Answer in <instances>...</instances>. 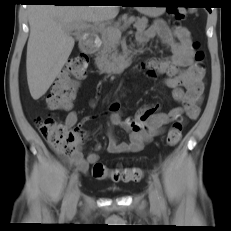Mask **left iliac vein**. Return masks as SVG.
Here are the masks:
<instances>
[{
	"label": "left iliac vein",
	"instance_id": "1",
	"mask_svg": "<svg viewBox=\"0 0 231 231\" xmlns=\"http://www.w3.org/2000/svg\"><path fill=\"white\" fill-rule=\"evenodd\" d=\"M149 200H150V204L153 208L159 207L160 201L158 198V193L155 189L154 184L151 181L149 182Z\"/></svg>",
	"mask_w": 231,
	"mask_h": 231
}]
</instances>
